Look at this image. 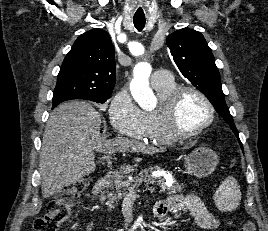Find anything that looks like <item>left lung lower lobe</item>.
I'll return each instance as SVG.
<instances>
[{
	"instance_id": "left-lung-lower-lobe-1",
	"label": "left lung lower lobe",
	"mask_w": 268,
	"mask_h": 231,
	"mask_svg": "<svg viewBox=\"0 0 268 231\" xmlns=\"http://www.w3.org/2000/svg\"><path fill=\"white\" fill-rule=\"evenodd\" d=\"M236 134V136L238 137V133H235ZM240 146H241V148H242V150H243V146H242V144L240 143Z\"/></svg>"
}]
</instances>
